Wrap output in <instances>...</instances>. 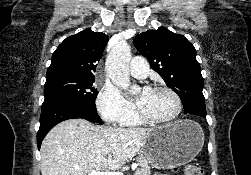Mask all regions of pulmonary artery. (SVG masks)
<instances>
[{"label": "pulmonary artery", "instance_id": "1", "mask_svg": "<svg viewBox=\"0 0 251 175\" xmlns=\"http://www.w3.org/2000/svg\"><path fill=\"white\" fill-rule=\"evenodd\" d=\"M149 68L147 67V58H133L130 62L129 71L136 78H145L148 75Z\"/></svg>", "mask_w": 251, "mask_h": 175}]
</instances>
